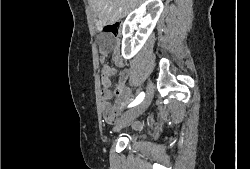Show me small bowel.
Listing matches in <instances>:
<instances>
[{
  "mask_svg": "<svg viewBox=\"0 0 250 169\" xmlns=\"http://www.w3.org/2000/svg\"><path fill=\"white\" fill-rule=\"evenodd\" d=\"M110 50H100V61L103 64L101 72V83H102V100H103V115L111 123L115 122L118 114L124 109V107L132 101L133 95L131 90L126 87V81L130 75L129 70L124 69L119 75V84L123 89L122 96L114 103L110 102L112 92L110 90L111 78L116 74L115 68L105 64V60L108 57ZM113 61L116 66H123L124 59L120 53L118 46L113 47ZM137 126L136 124L134 125Z\"/></svg>",
  "mask_w": 250,
  "mask_h": 169,
  "instance_id": "1",
  "label": "small bowel"
}]
</instances>
